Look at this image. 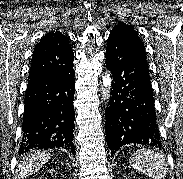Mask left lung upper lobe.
Masks as SVG:
<instances>
[{
	"label": "left lung upper lobe",
	"mask_w": 183,
	"mask_h": 179,
	"mask_svg": "<svg viewBox=\"0 0 183 179\" xmlns=\"http://www.w3.org/2000/svg\"><path fill=\"white\" fill-rule=\"evenodd\" d=\"M113 31H119L121 33H125L127 35H134L138 40L141 41L140 37L138 36L137 32L134 30L133 26L125 24V23H119L118 25H116ZM141 43L143 44V42L141 41Z\"/></svg>",
	"instance_id": "left-lung-upper-lobe-1"
}]
</instances>
